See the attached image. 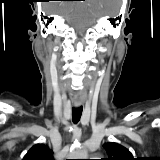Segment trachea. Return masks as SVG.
<instances>
[{"mask_svg": "<svg viewBox=\"0 0 160 160\" xmlns=\"http://www.w3.org/2000/svg\"><path fill=\"white\" fill-rule=\"evenodd\" d=\"M83 107L72 108V120L74 123H78L82 115Z\"/></svg>", "mask_w": 160, "mask_h": 160, "instance_id": "obj_1", "label": "trachea"}]
</instances>
